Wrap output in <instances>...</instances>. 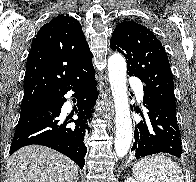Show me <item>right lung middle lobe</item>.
<instances>
[{"label":"right lung middle lobe","mask_w":196,"mask_h":182,"mask_svg":"<svg viewBox=\"0 0 196 182\" xmlns=\"http://www.w3.org/2000/svg\"><path fill=\"white\" fill-rule=\"evenodd\" d=\"M34 107H36V104L35 105H28V106H21V112L27 111V110L34 108Z\"/></svg>","instance_id":"1"}]
</instances>
